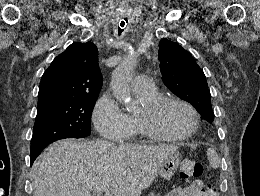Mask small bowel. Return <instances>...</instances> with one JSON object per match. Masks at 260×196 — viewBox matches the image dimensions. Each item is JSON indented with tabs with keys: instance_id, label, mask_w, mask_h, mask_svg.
Listing matches in <instances>:
<instances>
[{
	"instance_id": "obj_1",
	"label": "small bowel",
	"mask_w": 260,
	"mask_h": 196,
	"mask_svg": "<svg viewBox=\"0 0 260 196\" xmlns=\"http://www.w3.org/2000/svg\"><path fill=\"white\" fill-rule=\"evenodd\" d=\"M166 196H211L202 180L195 179L185 186L173 188Z\"/></svg>"
}]
</instances>
